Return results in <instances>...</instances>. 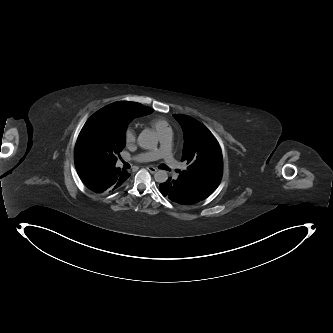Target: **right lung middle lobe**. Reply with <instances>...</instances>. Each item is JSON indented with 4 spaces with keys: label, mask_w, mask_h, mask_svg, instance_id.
<instances>
[{
    "label": "right lung middle lobe",
    "mask_w": 333,
    "mask_h": 333,
    "mask_svg": "<svg viewBox=\"0 0 333 333\" xmlns=\"http://www.w3.org/2000/svg\"><path fill=\"white\" fill-rule=\"evenodd\" d=\"M127 113L104 107L82 128L74 151L76 168L104 169L115 166L125 147V131L132 120Z\"/></svg>",
    "instance_id": "dd1d6c3e"
}]
</instances>
